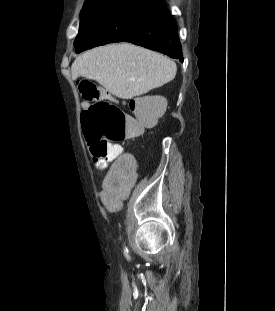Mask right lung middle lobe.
Segmentation results:
<instances>
[{"label":"right lung middle lobe","mask_w":275,"mask_h":311,"mask_svg":"<svg viewBox=\"0 0 275 311\" xmlns=\"http://www.w3.org/2000/svg\"><path fill=\"white\" fill-rule=\"evenodd\" d=\"M163 5L148 0H87L80 14L76 52L121 41L135 23Z\"/></svg>","instance_id":"obj_1"}]
</instances>
